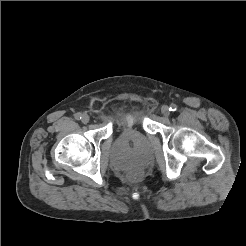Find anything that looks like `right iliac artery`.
Instances as JSON below:
<instances>
[{
    "label": "right iliac artery",
    "mask_w": 246,
    "mask_h": 246,
    "mask_svg": "<svg viewBox=\"0 0 246 246\" xmlns=\"http://www.w3.org/2000/svg\"><path fill=\"white\" fill-rule=\"evenodd\" d=\"M82 117L81 113H76L75 114V119L80 120Z\"/></svg>",
    "instance_id": "obj_1"
}]
</instances>
